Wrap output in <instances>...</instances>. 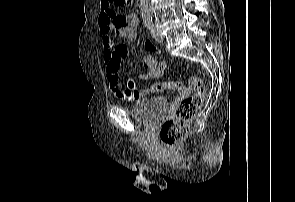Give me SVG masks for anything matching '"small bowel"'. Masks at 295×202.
<instances>
[{"label": "small bowel", "instance_id": "1", "mask_svg": "<svg viewBox=\"0 0 295 202\" xmlns=\"http://www.w3.org/2000/svg\"><path fill=\"white\" fill-rule=\"evenodd\" d=\"M98 24L103 41L106 77L110 90L116 96L126 101H139L154 93L155 90H147V86L142 89H123L120 85V61L128 55L129 50L128 47L123 44L115 46V38L120 37L129 41H134L136 39L138 25L137 15L135 13L120 15L112 9L110 0H101ZM144 46L150 51L154 49L153 44L149 41H147ZM160 76L150 74L148 68V72L140 75L139 78L158 79ZM181 98H190V89H181ZM181 98H172L170 107H179Z\"/></svg>", "mask_w": 295, "mask_h": 202}]
</instances>
